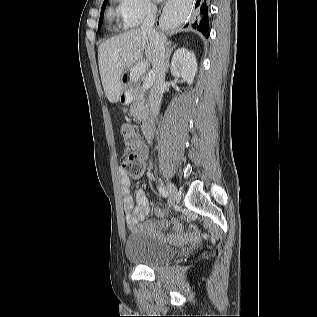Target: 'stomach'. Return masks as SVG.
Segmentation results:
<instances>
[{
    "label": "stomach",
    "instance_id": "0dacf381",
    "mask_svg": "<svg viewBox=\"0 0 317 317\" xmlns=\"http://www.w3.org/2000/svg\"><path fill=\"white\" fill-rule=\"evenodd\" d=\"M136 65H141V60H136ZM136 74H146V67H129V72H121L120 78L122 81H120L119 86L121 88L122 94H131L132 93V87L136 86V83H139V76ZM121 102H126V99H124V96L120 98Z\"/></svg>",
    "mask_w": 317,
    "mask_h": 317
}]
</instances>
